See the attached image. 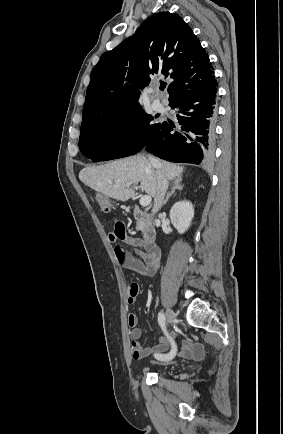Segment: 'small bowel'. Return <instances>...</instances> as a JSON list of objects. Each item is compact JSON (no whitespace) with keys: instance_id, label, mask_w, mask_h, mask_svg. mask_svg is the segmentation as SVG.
I'll return each mask as SVG.
<instances>
[{"instance_id":"1","label":"small bowel","mask_w":283,"mask_h":434,"mask_svg":"<svg viewBox=\"0 0 283 434\" xmlns=\"http://www.w3.org/2000/svg\"><path fill=\"white\" fill-rule=\"evenodd\" d=\"M110 242L122 241L131 246L134 253L125 251L121 246L115 247V256L121 265L129 270L135 271L143 276H154L157 272L160 262V250L158 247H148L140 238L130 236L123 222L116 221L114 229L108 235ZM139 293V285L131 282L127 287V301L132 304ZM128 325L131 328L129 332L130 344L132 349V357L135 360L143 359L150 355L166 354L172 344L168 337H160L151 347H146L139 342L142 336V330L137 326V317L131 313L128 315ZM172 335H175L173 333ZM171 336V335H170ZM172 337V336H171ZM177 347V346H176ZM201 347L199 344L185 339L182 342L179 356L186 359H195L201 356Z\"/></svg>"}]
</instances>
